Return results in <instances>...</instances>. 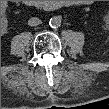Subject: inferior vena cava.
<instances>
[{
  "label": "inferior vena cava",
  "instance_id": "602c4592",
  "mask_svg": "<svg viewBox=\"0 0 109 109\" xmlns=\"http://www.w3.org/2000/svg\"><path fill=\"white\" fill-rule=\"evenodd\" d=\"M41 24V20L37 17H32L28 20V25L29 26H37Z\"/></svg>",
  "mask_w": 109,
  "mask_h": 109
}]
</instances>
